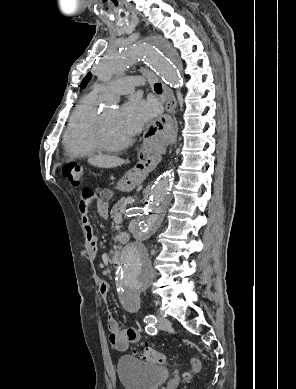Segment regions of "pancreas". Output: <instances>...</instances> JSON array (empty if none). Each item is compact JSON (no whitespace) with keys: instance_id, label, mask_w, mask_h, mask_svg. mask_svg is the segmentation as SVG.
<instances>
[{"instance_id":"pancreas-1","label":"pancreas","mask_w":296,"mask_h":389,"mask_svg":"<svg viewBox=\"0 0 296 389\" xmlns=\"http://www.w3.org/2000/svg\"><path fill=\"white\" fill-rule=\"evenodd\" d=\"M125 210V199H120L112 208L111 214L116 216L118 214H122Z\"/></svg>"}]
</instances>
